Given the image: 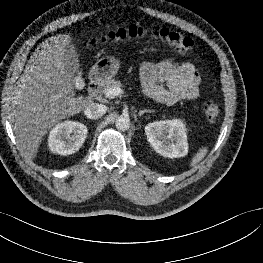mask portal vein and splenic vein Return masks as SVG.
I'll return each instance as SVG.
<instances>
[{"instance_id": "obj_1", "label": "portal vein and splenic vein", "mask_w": 263, "mask_h": 263, "mask_svg": "<svg viewBox=\"0 0 263 263\" xmlns=\"http://www.w3.org/2000/svg\"><path fill=\"white\" fill-rule=\"evenodd\" d=\"M123 91L120 87H113V88H109L106 92V96L109 98H114L120 94H122Z\"/></svg>"}]
</instances>
